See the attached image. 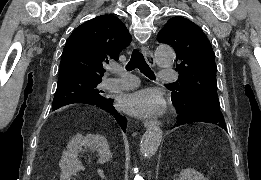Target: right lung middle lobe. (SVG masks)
<instances>
[{"instance_id":"dd1d6c3e","label":"right lung middle lobe","mask_w":261,"mask_h":180,"mask_svg":"<svg viewBox=\"0 0 261 180\" xmlns=\"http://www.w3.org/2000/svg\"><path fill=\"white\" fill-rule=\"evenodd\" d=\"M102 80H68L58 82L56 95L53 99V109L56 110L68 102L76 99H101L103 91L98 84Z\"/></svg>"}]
</instances>
